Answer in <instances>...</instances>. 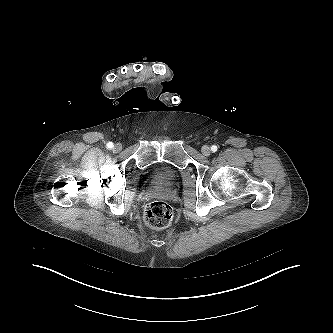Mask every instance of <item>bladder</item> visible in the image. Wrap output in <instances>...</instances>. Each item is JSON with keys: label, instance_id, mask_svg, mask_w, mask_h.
Masks as SVG:
<instances>
[{"label": "bladder", "instance_id": "bladder-1", "mask_svg": "<svg viewBox=\"0 0 333 333\" xmlns=\"http://www.w3.org/2000/svg\"><path fill=\"white\" fill-rule=\"evenodd\" d=\"M147 177L151 180L171 183L178 177V171L169 163H157L146 170Z\"/></svg>", "mask_w": 333, "mask_h": 333}]
</instances>
